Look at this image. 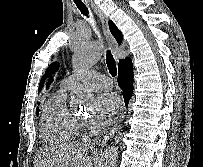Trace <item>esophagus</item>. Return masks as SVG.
Here are the masks:
<instances>
[{
	"mask_svg": "<svg viewBox=\"0 0 203 167\" xmlns=\"http://www.w3.org/2000/svg\"><path fill=\"white\" fill-rule=\"evenodd\" d=\"M92 8H93L94 12L98 15V17H99V19L101 21V24H102V28L104 30L105 37H106L110 47L112 48L114 54L116 55L119 47H118V44H117L116 40L114 39V37L112 36V34H111L110 30H109L108 17L95 5H92ZM124 115H125V107H124L123 112H122V114L120 116L119 122L124 117ZM118 123H117V125H118ZM117 125L114 126L110 130V132L100 141V144H99L100 149H102V147L105 145L106 141L109 139V136H111V134L115 131Z\"/></svg>",
	"mask_w": 203,
	"mask_h": 167,
	"instance_id": "obj_1",
	"label": "esophagus"
}]
</instances>
